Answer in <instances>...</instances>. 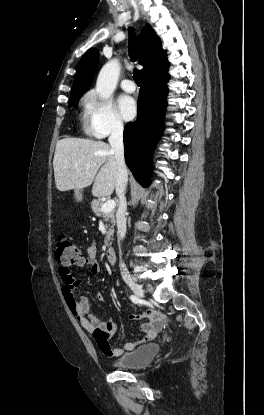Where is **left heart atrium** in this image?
<instances>
[{
  "label": "left heart atrium",
  "mask_w": 264,
  "mask_h": 415,
  "mask_svg": "<svg viewBox=\"0 0 264 415\" xmlns=\"http://www.w3.org/2000/svg\"><path fill=\"white\" fill-rule=\"evenodd\" d=\"M118 109L123 119L131 120L136 114V104L134 99L126 95L119 97Z\"/></svg>",
  "instance_id": "left-heart-atrium-1"
}]
</instances>
